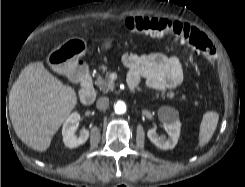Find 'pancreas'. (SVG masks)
Masks as SVG:
<instances>
[{
  "label": "pancreas",
  "instance_id": "1",
  "mask_svg": "<svg viewBox=\"0 0 245 187\" xmlns=\"http://www.w3.org/2000/svg\"><path fill=\"white\" fill-rule=\"evenodd\" d=\"M100 69L102 70L103 73H105V76L103 77L101 75H98L97 80H96V85L102 91H109V90L112 91L114 89V81L109 78V72L107 71V67L102 65L100 67ZM155 97L159 98V94L156 93ZM162 97L163 98L168 97V98L172 99L174 97V93L171 92V93H167L166 95L162 94ZM181 99L182 100L185 99V95H182Z\"/></svg>",
  "mask_w": 245,
  "mask_h": 187
}]
</instances>
